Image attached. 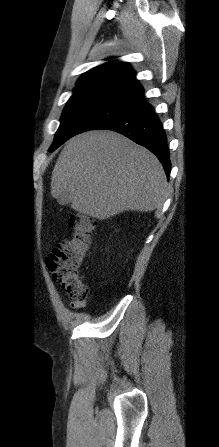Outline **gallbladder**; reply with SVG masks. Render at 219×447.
Listing matches in <instances>:
<instances>
[{"label":"gallbladder","mask_w":219,"mask_h":447,"mask_svg":"<svg viewBox=\"0 0 219 447\" xmlns=\"http://www.w3.org/2000/svg\"><path fill=\"white\" fill-rule=\"evenodd\" d=\"M58 203L61 205H68L70 202L68 199L59 198Z\"/></svg>","instance_id":"obj_1"}]
</instances>
